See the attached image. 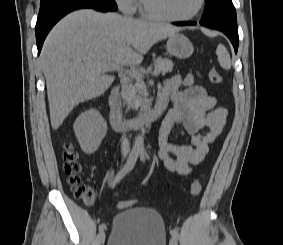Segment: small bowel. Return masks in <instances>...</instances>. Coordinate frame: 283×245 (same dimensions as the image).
<instances>
[{
	"label": "small bowel",
	"instance_id": "obj_1",
	"mask_svg": "<svg viewBox=\"0 0 283 245\" xmlns=\"http://www.w3.org/2000/svg\"><path fill=\"white\" fill-rule=\"evenodd\" d=\"M186 89H181V86ZM174 107L164 118L158 137V157L164 166L181 175L191 173L209 152V146L226 125L228 111L217 105V99L202 86L194 83L190 74H176L168 78L161 89ZM181 126L189 134L190 145L176 144L173 131Z\"/></svg>",
	"mask_w": 283,
	"mask_h": 245
}]
</instances>
